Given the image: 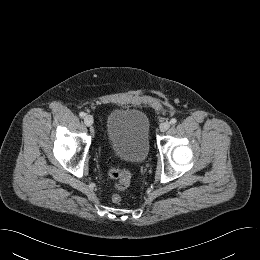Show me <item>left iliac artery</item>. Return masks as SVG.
Masks as SVG:
<instances>
[{
    "label": "left iliac artery",
    "mask_w": 260,
    "mask_h": 260,
    "mask_svg": "<svg viewBox=\"0 0 260 260\" xmlns=\"http://www.w3.org/2000/svg\"><path fill=\"white\" fill-rule=\"evenodd\" d=\"M176 122H177V120H176L175 118H172V119L170 120V123H171V124H176Z\"/></svg>",
    "instance_id": "obj_1"
}]
</instances>
